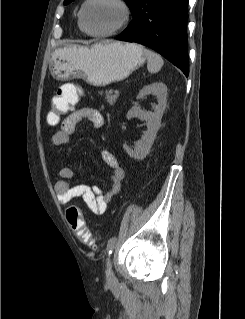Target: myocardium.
I'll return each instance as SVG.
<instances>
[{"label": "myocardium", "mask_w": 245, "mask_h": 319, "mask_svg": "<svg viewBox=\"0 0 245 319\" xmlns=\"http://www.w3.org/2000/svg\"><path fill=\"white\" fill-rule=\"evenodd\" d=\"M96 1H105V2L112 3L116 6H118L122 12V18H121L120 22L115 27H113L112 29H110L108 31L91 32L85 26L84 18H85L86 9L91 3L96 2ZM131 16H132L131 7L127 3L126 0H85L84 3L82 4L81 9H80L79 24H80L81 29L87 35H89L91 37H95V38H107V37H110V36L117 34L120 30H122L129 23Z\"/></svg>", "instance_id": "obj_1"}]
</instances>
